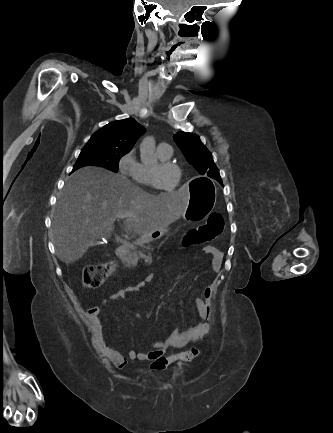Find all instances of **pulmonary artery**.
Returning a JSON list of instances; mask_svg holds the SVG:
<instances>
[{"label":"pulmonary artery","mask_w":333,"mask_h":433,"mask_svg":"<svg viewBox=\"0 0 333 433\" xmlns=\"http://www.w3.org/2000/svg\"><path fill=\"white\" fill-rule=\"evenodd\" d=\"M157 150L159 153H161L167 157H170L172 155V152H173L172 147L167 143H160L157 147Z\"/></svg>","instance_id":"1"}]
</instances>
